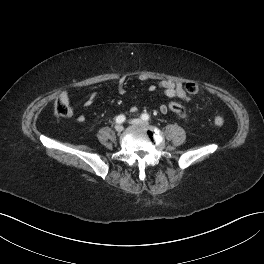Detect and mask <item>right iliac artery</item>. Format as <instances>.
Here are the masks:
<instances>
[{"mask_svg": "<svg viewBox=\"0 0 264 264\" xmlns=\"http://www.w3.org/2000/svg\"><path fill=\"white\" fill-rule=\"evenodd\" d=\"M125 121V116L124 115H119L116 117V123L121 124Z\"/></svg>", "mask_w": 264, "mask_h": 264, "instance_id": "obj_1", "label": "right iliac artery"}]
</instances>
